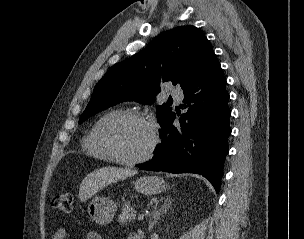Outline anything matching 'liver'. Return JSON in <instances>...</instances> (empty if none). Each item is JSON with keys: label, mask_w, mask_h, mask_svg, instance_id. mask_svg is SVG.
Returning <instances> with one entry per match:
<instances>
[{"label": "liver", "mask_w": 304, "mask_h": 239, "mask_svg": "<svg viewBox=\"0 0 304 239\" xmlns=\"http://www.w3.org/2000/svg\"><path fill=\"white\" fill-rule=\"evenodd\" d=\"M137 171L127 168L103 167L89 173L81 182L79 197L85 202L106 186L134 176Z\"/></svg>", "instance_id": "obj_1"}]
</instances>
